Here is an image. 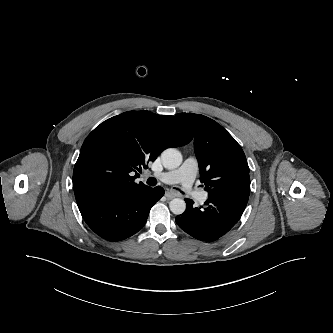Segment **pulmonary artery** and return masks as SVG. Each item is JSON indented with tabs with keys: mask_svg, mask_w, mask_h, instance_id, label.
Masks as SVG:
<instances>
[{
	"mask_svg": "<svg viewBox=\"0 0 333 333\" xmlns=\"http://www.w3.org/2000/svg\"><path fill=\"white\" fill-rule=\"evenodd\" d=\"M197 172V160L194 157H188L179 168L157 173L155 177L166 184L181 183L186 191L192 192L198 200L205 201L208 197L207 192H198L192 189Z\"/></svg>",
	"mask_w": 333,
	"mask_h": 333,
	"instance_id": "e3ab8cb5",
	"label": "pulmonary artery"
}]
</instances>
